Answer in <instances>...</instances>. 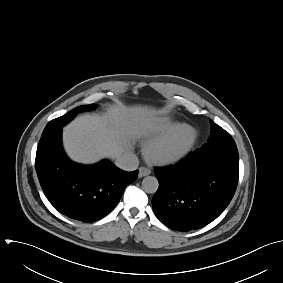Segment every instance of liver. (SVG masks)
I'll return each mask as SVG.
<instances>
[{
    "mask_svg": "<svg viewBox=\"0 0 283 283\" xmlns=\"http://www.w3.org/2000/svg\"><path fill=\"white\" fill-rule=\"evenodd\" d=\"M155 114L145 106H130L111 108L104 115L79 116L64 128V148L79 163L115 159L129 151L131 141L153 125Z\"/></svg>",
    "mask_w": 283,
    "mask_h": 283,
    "instance_id": "liver-1",
    "label": "liver"
}]
</instances>
